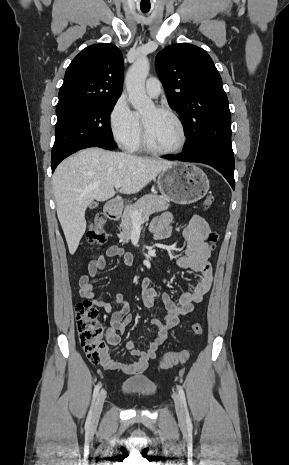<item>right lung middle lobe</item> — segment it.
<instances>
[{
    "instance_id": "obj_1",
    "label": "right lung middle lobe",
    "mask_w": 289,
    "mask_h": 465,
    "mask_svg": "<svg viewBox=\"0 0 289 465\" xmlns=\"http://www.w3.org/2000/svg\"><path fill=\"white\" fill-rule=\"evenodd\" d=\"M117 100L56 107L51 163L61 161L88 145L115 149L109 115Z\"/></svg>"
}]
</instances>
